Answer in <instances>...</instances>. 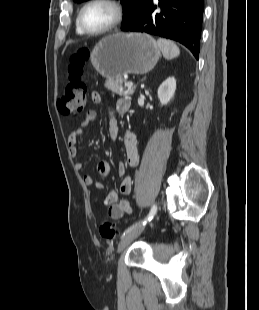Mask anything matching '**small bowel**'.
Wrapping results in <instances>:
<instances>
[{
	"instance_id": "small-bowel-1",
	"label": "small bowel",
	"mask_w": 259,
	"mask_h": 310,
	"mask_svg": "<svg viewBox=\"0 0 259 310\" xmlns=\"http://www.w3.org/2000/svg\"><path fill=\"white\" fill-rule=\"evenodd\" d=\"M92 102L95 104L100 103V95L98 92H93L91 94ZM129 101L127 99H120L117 102V110L119 111L122 107L129 108ZM107 113L109 118V134L111 138L115 141L118 137V125L114 112L111 107H107ZM97 118V113L94 110H89L85 117L80 122L79 126L73 130L68 137L69 154L75 162V167L77 169L82 168V163L78 159V150L76 144L83 137L85 131L94 123ZM124 143L126 148L127 160L130 166H137L139 163V155L137 151L136 138L133 132L127 131L124 136ZM98 173L103 178H108L111 173L110 164L107 161H100L97 165ZM119 171L122 173L124 171V165L119 164ZM83 181L87 186H94L98 190L104 188L103 183L96 181L93 176L85 175ZM133 189V180L131 177H125L122 179L120 184V192L124 195H129ZM99 198H96L98 201ZM104 204L108 208V214L111 219L118 220L122 218L125 214H130L132 209L127 200L119 199V193L115 189L108 191L104 198Z\"/></svg>"
}]
</instances>
